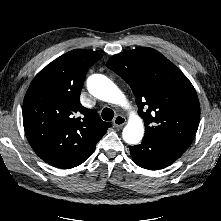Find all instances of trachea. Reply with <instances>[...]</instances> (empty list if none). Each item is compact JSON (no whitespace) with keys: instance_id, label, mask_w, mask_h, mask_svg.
Instances as JSON below:
<instances>
[{"instance_id":"trachea-1","label":"trachea","mask_w":221,"mask_h":221,"mask_svg":"<svg viewBox=\"0 0 221 221\" xmlns=\"http://www.w3.org/2000/svg\"><path fill=\"white\" fill-rule=\"evenodd\" d=\"M114 117V112L112 109L110 108H104L102 110V118L105 120V121H111Z\"/></svg>"}]
</instances>
